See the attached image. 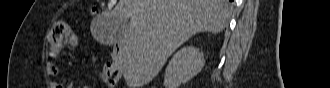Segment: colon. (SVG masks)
Here are the masks:
<instances>
[{"label": "colon", "mask_w": 330, "mask_h": 88, "mask_svg": "<svg viewBox=\"0 0 330 88\" xmlns=\"http://www.w3.org/2000/svg\"><path fill=\"white\" fill-rule=\"evenodd\" d=\"M78 44V34L72 30L70 24L65 20L58 21L50 35V46L52 54H58L62 47L66 45L76 47ZM119 71V53L114 51L112 53L111 64H108L103 68L102 71H99V77L109 86L113 87L118 80Z\"/></svg>", "instance_id": "1"}]
</instances>
